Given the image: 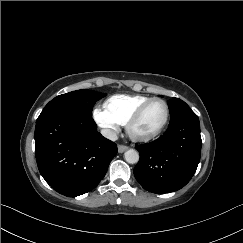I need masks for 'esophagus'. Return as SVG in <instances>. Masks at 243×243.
Masks as SVG:
<instances>
[{
    "instance_id": "1",
    "label": "esophagus",
    "mask_w": 243,
    "mask_h": 243,
    "mask_svg": "<svg viewBox=\"0 0 243 243\" xmlns=\"http://www.w3.org/2000/svg\"><path fill=\"white\" fill-rule=\"evenodd\" d=\"M128 149V146L125 145H118V152L119 153H123L124 151H126Z\"/></svg>"
}]
</instances>
